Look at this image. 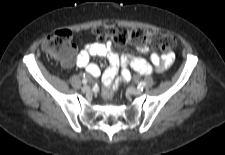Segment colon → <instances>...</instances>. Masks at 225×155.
Masks as SVG:
<instances>
[{"mask_svg":"<svg viewBox=\"0 0 225 155\" xmlns=\"http://www.w3.org/2000/svg\"><path fill=\"white\" fill-rule=\"evenodd\" d=\"M93 34L99 41L110 40L118 46L129 43L137 46L150 44L161 51H169L176 45V40L170 35L148 29H129L119 24L99 25L93 29ZM71 36L72 33L69 30L56 31L43 42L44 51L63 62H71L74 54ZM112 93L111 87L103 88L101 97L104 103H111Z\"/></svg>","mask_w":225,"mask_h":155,"instance_id":"1","label":"colon"}]
</instances>
